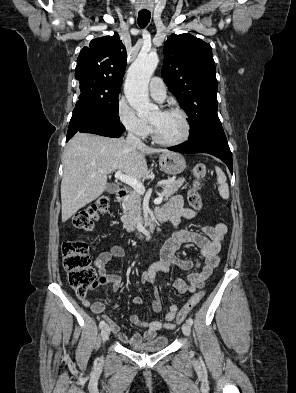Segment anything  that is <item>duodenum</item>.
<instances>
[{
    "label": "duodenum",
    "mask_w": 296,
    "mask_h": 393,
    "mask_svg": "<svg viewBox=\"0 0 296 393\" xmlns=\"http://www.w3.org/2000/svg\"><path fill=\"white\" fill-rule=\"evenodd\" d=\"M127 194H128L127 190L121 188V189H119L117 191L116 196H117L118 200L122 201V200H124L127 197ZM152 218L155 219V220H159V221H167L168 220V217L165 216V213H164V211L162 209H159V208L153 209L151 211V219H150V221L148 223L147 228L144 230V236L145 237H148L150 235V233H151V221H152Z\"/></svg>",
    "instance_id": "410a0bca"
}]
</instances>
